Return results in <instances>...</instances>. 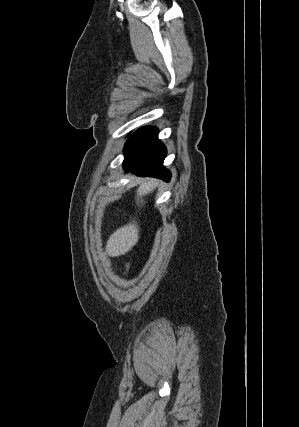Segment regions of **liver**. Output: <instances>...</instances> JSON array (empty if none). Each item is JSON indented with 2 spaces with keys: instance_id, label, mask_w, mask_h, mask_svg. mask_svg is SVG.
<instances>
[{
  "instance_id": "1",
  "label": "liver",
  "mask_w": 299,
  "mask_h": 427,
  "mask_svg": "<svg viewBox=\"0 0 299 427\" xmlns=\"http://www.w3.org/2000/svg\"><path fill=\"white\" fill-rule=\"evenodd\" d=\"M158 185L157 180L148 179L143 181L137 189L136 203H143L142 197L153 192ZM139 239V226L133 221L119 229H117L109 237L106 245V252L109 256L117 257L128 252Z\"/></svg>"
}]
</instances>
